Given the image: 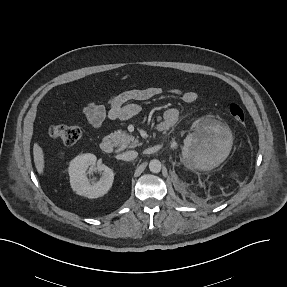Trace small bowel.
<instances>
[{"instance_id":"c3829d8e","label":"small bowel","mask_w":287,"mask_h":287,"mask_svg":"<svg viewBox=\"0 0 287 287\" xmlns=\"http://www.w3.org/2000/svg\"><path fill=\"white\" fill-rule=\"evenodd\" d=\"M164 93L179 96L186 104H192L197 100V93L192 90L179 88H164L152 85L145 88L129 89L112 98L106 104L89 103L83 108V114L93 128H101L106 119L125 120L137 115L140 111V102L154 99ZM179 120V111L176 108L167 109L162 116L158 128L163 131L172 128Z\"/></svg>"}]
</instances>
